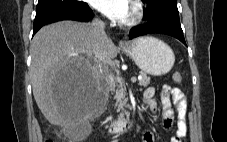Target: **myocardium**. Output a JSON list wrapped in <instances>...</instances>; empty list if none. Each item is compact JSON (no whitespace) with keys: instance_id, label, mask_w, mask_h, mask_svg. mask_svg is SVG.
I'll use <instances>...</instances> for the list:
<instances>
[{"instance_id":"myocardium-1","label":"myocardium","mask_w":227,"mask_h":142,"mask_svg":"<svg viewBox=\"0 0 227 142\" xmlns=\"http://www.w3.org/2000/svg\"><path fill=\"white\" fill-rule=\"evenodd\" d=\"M131 16L123 25L126 27H133L141 23L145 15V8L141 0H133L131 6Z\"/></svg>"}]
</instances>
